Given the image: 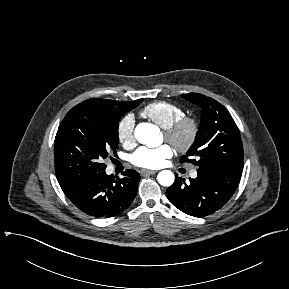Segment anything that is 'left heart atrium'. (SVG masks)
<instances>
[{
	"instance_id": "1",
	"label": "left heart atrium",
	"mask_w": 289,
	"mask_h": 289,
	"mask_svg": "<svg viewBox=\"0 0 289 289\" xmlns=\"http://www.w3.org/2000/svg\"><path fill=\"white\" fill-rule=\"evenodd\" d=\"M172 154V148L166 144L156 148L140 147L131 155L130 161L140 168L155 169L161 167Z\"/></svg>"
}]
</instances>
